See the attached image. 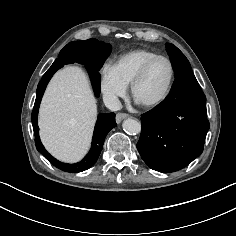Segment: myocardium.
Returning <instances> with one entry per match:
<instances>
[{"instance_id": "obj_1", "label": "myocardium", "mask_w": 236, "mask_h": 236, "mask_svg": "<svg viewBox=\"0 0 236 236\" xmlns=\"http://www.w3.org/2000/svg\"><path fill=\"white\" fill-rule=\"evenodd\" d=\"M158 60H165L169 64V67H170V79H169V83L167 85V88H166L165 92L162 94V96H160L158 99L153 100V101H148V102H139L136 98L137 87L144 79V77L147 74L150 67ZM175 75H176L175 67H174V64L170 58L163 56V55H157V56L149 59L139 69V71L137 72V74L135 75L134 79L132 80V82L130 84L131 95H132L133 99L139 105H141L144 108H148V109L155 108V107L162 105L168 99V97L170 96V94L172 92L174 82H175Z\"/></svg>"}]
</instances>
